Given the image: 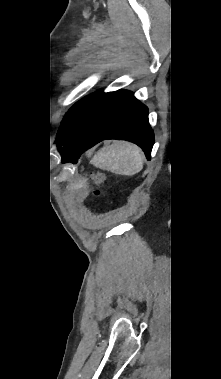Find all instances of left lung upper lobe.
Here are the masks:
<instances>
[{
	"mask_svg": "<svg viewBox=\"0 0 221 379\" xmlns=\"http://www.w3.org/2000/svg\"><path fill=\"white\" fill-rule=\"evenodd\" d=\"M101 96V92L91 94L80 100L66 113L56 138L59 149H61V145H64V143L69 139L76 126L85 117V115L90 111V109L95 105Z\"/></svg>",
	"mask_w": 221,
	"mask_h": 379,
	"instance_id": "left-lung-upper-lobe-1",
	"label": "left lung upper lobe"
}]
</instances>
